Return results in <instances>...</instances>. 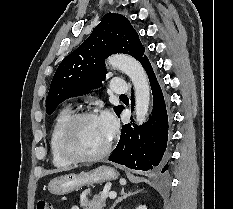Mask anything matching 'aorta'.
I'll list each match as a JSON object with an SVG mask.
<instances>
[{"label":"aorta","mask_w":233,"mask_h":209,"mask_svg":"<svg viewBox=\"0 0 233 209\" xmlns=\"http://www.w3.org/2000/svg\"><path fill=\"white\" fill-rule=\"evenodd\" d=\"M107 63L121 70L131 80L135 93V121L137 125L145 122L150 105V85L142 65L128 55H113Z\"/></svg>","instance_id":"762f6f07"}]
</instances>
